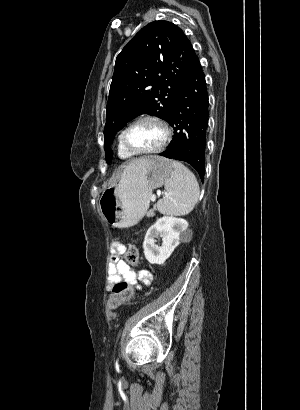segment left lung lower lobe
Instances as JSON below:
<instances>
[{
    "mask_svg": "<svg viewBox=\"0 0 300 410\" xmlns=\"http://www.w3.org/2000/svg\"><path fill=\"white\" fill-rule=\"evenodd\" d=\"M208 107L205 76L197 57L166 120L174 129L173 140L159 155L189 163L198 172L201 180L205 174Z\"/></svg>",
    "mask_w": 300,
    "mask_h": 410,
    "instance_id": "obj_1",
    "label": "left lung lower lobe"
}]
</instances>
